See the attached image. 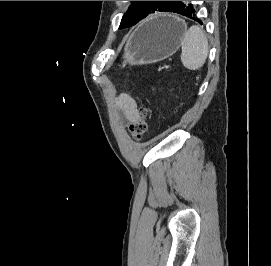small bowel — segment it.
<instances>
[{
  "instance_id": "obj_1",
  "label": "small bowel",
  "mask_w": 271,
  "mask_h": 266,
  "mask_svg": "<svg viewBox=\"0 0 271 266\" xmlns=\"http://www.w3.org/2000/svg\"><path fill=\"white\" fill-rule=\"evenodd\" d=\"M117 103L130 122L134 121L139 116L136 103L132 98L122 95L118 98Z\"/></svg>"
}]
</instances>
